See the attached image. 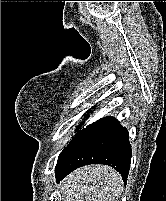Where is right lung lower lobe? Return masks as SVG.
I'll return each mask as SVG.
<instances>
[{"mask_svg":"<svg viewBox=\"0 0 166 201\" xmlns=\"http://www.w3.org/2000/svg\"><path fill=\"white\" fill-rule=\"evenodd\" d=\"M131 155L128 131L114 117L100 119L80 130L61 152L55 169L57 182L78 167L107 164L126 183Z\"/></svg>","mask_w":166,"mask_h":201,"instance_id":"obj_1","label":"right lung lower lobe"}]
</instances>
